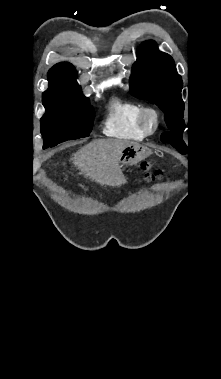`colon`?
Instances as JSON below:
<instances>
[{
	"instance_id": "1",
	"label": "colon",
	"mask_w": 221,
	"mask_h": 379,
	"mask_svg": "<svg viewBox=\"0 0 221 379\" xmlns=\"http://www.w3.org/2000/svg\"><path fill=\"white\" fill-rule=\"evenodd\" d=\"M141 169L144 174V179L146 181H155L157 179H160L162 176V170L159 168H155L150 164H143L141 166Z\"/></svg>"
}]
</instances>
